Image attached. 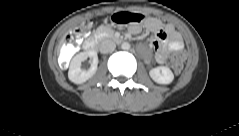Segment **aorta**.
<instances>
[{
    "mask_svg": "<svg viewBox=\"0 0 239 136\" xmlns=\"http://www.w3.org/2000/svg\"><path fill=\"white\" fill-rule=\"evenodd\" d=\"M121 48L123 50H129L130 49V44L128 42H124V43H122Z\"/></svg>",
    "mask_w": 239,
    "mask_h": 136,
    "instance_id": "1",
    "label": "aorta"
}]
</instances>
